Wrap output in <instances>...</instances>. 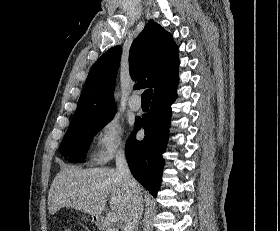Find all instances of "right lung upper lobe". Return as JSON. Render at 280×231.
<instances>
[{
    "label": "right lung upper lobe",
    "mask_w": 280,
    "mask_h": 231,
    "mask_svg": "<svg viewBox=\"0 0 280 231\" xmlns=\"http://www.w3.org/2000/svg\"><path fill=\"white\" fill-rule=\"evenodd\" d=\"M121 53L120 46L112 47L93 64L70 124L115 114L113 90ZM178 65V47L172 35L150 20L129 52L131 77L139 79L134 89L153 87V98L172 91L179 80Z\"/></svg>",
    "instance_id": "cb5924a9"
}]
</instances>
